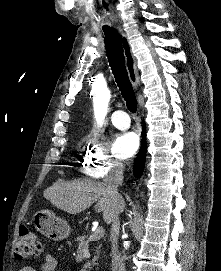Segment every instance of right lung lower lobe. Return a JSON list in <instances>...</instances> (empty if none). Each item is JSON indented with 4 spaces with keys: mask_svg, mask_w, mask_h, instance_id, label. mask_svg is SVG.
Segmentation results:
<instances>
[{
    "mask_svg": "<svg viewBox=\"0 0 221 271\" xmlns=\"http://www.w3.org/2000/svg\"><path fill=\"white\" fill-rule=\"evenodd\" d=\"M145 157H146V138H145V127L143 128V145L138 153L137 158L134 163V176L140 177L143 173L145 166Z\"/></svg>",
    "mask_w": 221,
    "mask_h": 271,
    "instance_id": "98d812e1",
    "label": "right lung lower lobe"
}]
</instances>
